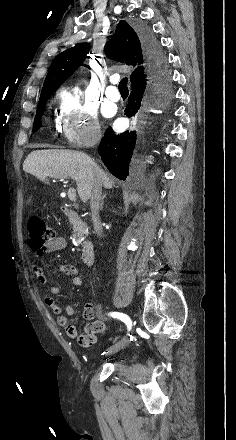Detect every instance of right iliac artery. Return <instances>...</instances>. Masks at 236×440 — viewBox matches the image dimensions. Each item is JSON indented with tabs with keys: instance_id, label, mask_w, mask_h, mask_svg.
<instances>
[{
	"instance_id": "obj_1",
	"label": "right iliac artery",
	"mask_w": 236,
	"mask_h": 440,
	"mask_svg": "<svg viewBox=\"0 0 236 440\" xmlns=\"http://www.w3.org/2000/svg\"><path fill=\"white\" fill-rule=\"evenodd\" d=\"M109 315L112 316L113 318L120 319L121 321H123L127 325L128 330L131 329L132 322H131V319L126 314H123L120 312H112Z\"/></svg>"
}]
</instances>
